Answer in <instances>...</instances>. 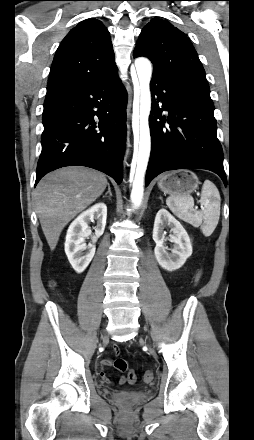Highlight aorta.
<instances>
[{
  "instance_id": "1",
  "label": "aorta",
  "mask_w": 254,
  "mask_h": 440,
  "mask_svg": "<svg viewBox=\"0 0 254 440\" xmlns=\"http://www.w3.org/2000/svg\"><path fill=\"white\" fill-rule=\"evenodd\" d=\"M140 84V98L134 100L132 127L134 131V154L130 181L133 183L131 202L139 208L144 196V177L151 150V137L148 118L151 110L150 80L152 75L151 62L140 57L135 60Z\"/></svg>"
}]
</instances>
